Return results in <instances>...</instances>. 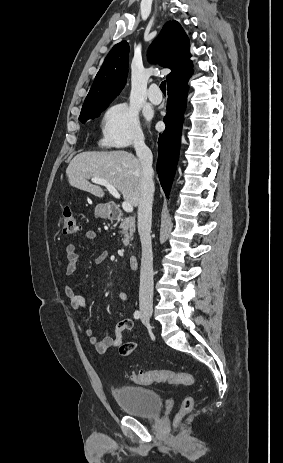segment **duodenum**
I'll use <instances>...</instances> for the list:
<instances>
[{"label": "duodenum", "mask_w": 283, "mask_h": 463, "mask_svg": "<svg viewBox=\"0 0 283 463\" xmlns=\"http://www.w3.org/2000/svg\"><path fill=\"white\" fill-rule=\"evenodd\" d=\"M106 207H107L108 215L111 219H119L122 216V211L119 208V206H117L116 204L108 203ZM129 264H130L131 269H137L138 268V257L136 255H131L129 257Z\"/></svg>", "instance_id": "1"}]
</instances>
